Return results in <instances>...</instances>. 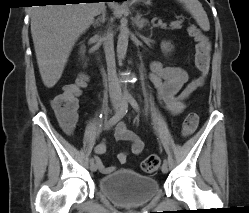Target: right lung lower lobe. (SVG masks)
Masks as SVG:
<instances>
[{
  "label": "right lung lower lobe",
  "mask_w": 249,
  "mask_h": 213,
  "mask_svg": "<svg viewBox=\"0 0 249 213\" xmlns=\"http://www.w3.org/2000/svg\"><path fill=\"white\" fill-rule=\"evenodd\" d=\"M43 3H54V4H66V3H78L81 1H98V0H44ZM104 1H125V0H104ZM93 3V2H92Z\"/></svg>",
  "instance_id": "1"
}]
</instances>
